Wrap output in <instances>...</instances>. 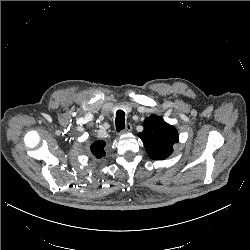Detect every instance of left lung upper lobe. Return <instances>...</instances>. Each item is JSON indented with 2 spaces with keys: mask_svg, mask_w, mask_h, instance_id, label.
<instances>
[{
  "mask_svg": "<svg viewBox=\"0 0 250 250\" xmlns=\"http://www.w3.org/2000/svg\"><path fill=\"white\" fill-rule=\"evenodd\" d=\"M138 135L148 155L155 160L170 156L173 152V145L179 140L176 128L156 115L145 119L144 130Z\"/></svg>",
  "mask_w": 250,
  "mask_h": 250,
  "instance_id": "5c2ea615",
  "label": "left lung upper lobe"
}]
</instances>
